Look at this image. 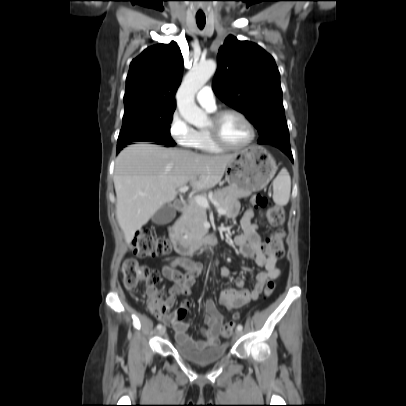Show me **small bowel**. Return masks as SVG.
Here are the masks:
<instances>
[{
	"instance_id": "c3829d8e",
	"label": "small bowel",
	"mask_w": 406,
	"mask_h": 406,
	"mask_svg": "<svg viewBox=\"0 0 406 406\" xmlns=\"http://www.w3.org/2000/svg\"><path fill=\"white\" fill-rule=\"evenodd\" d=\"M237 214V204H233L226 213V219L232 220ZM253 216L254 212L252 209L245 211L240 219L241 233L235 236L234 244L241 255L253 260L263 271L257 274L256 284L253 289L246 288L243 277L235 279L236 288L226 286L221 289L219 301L228 312L238 309L250 301L257 300L267 283L273 282L280 276V270L277 267V257L272 251L264 247L257 231L258 225L252 221ZM179 268H183L185 273H181ZM245 270L248 271L249 269L245 268ZM201 271V263L192 262L182 256L173 259L162 269V275L166 279L173 281L174 285L170 288L166 300L162 301L158 299L156 305L163 313L162 320L173 328L176 341L185 345L203 347L219 344V331L226 320V316L217 309L215 303L211 299H208L205 303L206 315L204 321L207 327L200 330L203 336L201 340H195L187 333L189 327L188 321L177 318L180 309L186 312L190 306L189 301H183L176 311L173 313L169 312L176 302L177 295H188L191 293L196 278ZM220 273L225 278H231V272L227 267H222Z\"/></svg>"
}]
</instances>
